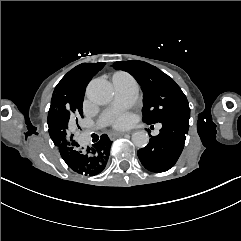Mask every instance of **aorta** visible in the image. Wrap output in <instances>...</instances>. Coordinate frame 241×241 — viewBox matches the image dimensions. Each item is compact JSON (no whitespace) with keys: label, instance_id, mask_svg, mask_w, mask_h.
Here are the masks:
<instances>
[{"label":"aorta","instance_id":"1","mask_svg":"<svg viewBox=\"0 0 241 241\" xmlns=\"http://www.w3.org/2000/svg\"><path fill=\"white\" fill-rule=\"evenodd\" d=\"M86 95L93 103L105 105L111 101L113 89L107 80L97 78L88 84ZM132 142L136 147L143 148L149 143V135L146 131H137L132 135Z\"/></svg>","mask_w":241,"mask_h":241}]
</instances>
